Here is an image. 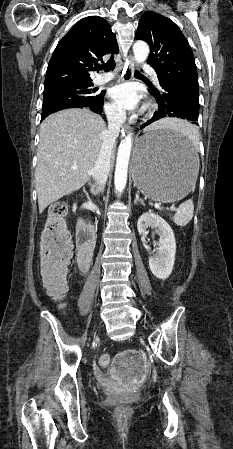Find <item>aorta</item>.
<instances>
[{
	"mask_svg": "<svg viewBox=\"0 0 233 449\" xmlns=\"http://www.w3.org/2000/svg\"><path fill=\"white\" fill-rule=\"evenodd\" d=\"M134 58L137 63L144 62L149 54V46L144 41H137L133 45ZM132 136L130 132L120 143L116 159L114 185L117 192L121 193L127 183V171L132 148Z\"/></svg>",
	"mask_w": 233,
	"mask_h": 449,
	"instance_id": "762f6f07",
	"label": "aorta"
}]
</instances>
